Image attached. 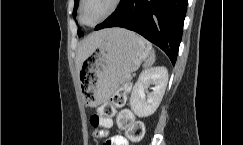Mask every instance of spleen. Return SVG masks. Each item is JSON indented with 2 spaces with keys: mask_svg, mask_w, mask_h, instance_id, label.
Instances as JSON below:
<instances>
[{
  "mask_svg": "<svg viewBox=\"0 0 243 145\" xmlns=\"http://www.w3.org/2000/svg\"><path fill=\"white\" fill-rule=\"evenodd\" d=\"M154 62H155V54L154 51L152 50V47L150 46V55L148 59L145 61L144 67L145 68L151 67Z\"/></svg>",
  "mask_w": 243,
  "mask_h": 145,
  "instance_id": "obj_1",
  "label": "spleen"
}]
</instances>
